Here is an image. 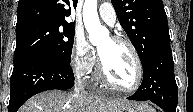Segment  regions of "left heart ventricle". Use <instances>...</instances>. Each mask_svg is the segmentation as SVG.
Returning a JSON list of instances; mask_svg holds the SVG:
<instances>
[{"instance_id":"obj_1","label":"left heart ventricle","mask_w":193,"mask_h":112,"mask_svg":"<svg viewBox=\"0 0 193 112\" xmlns=\"http://www.w3.org/2000/svg\"><path fill=\"white\" fill-rule=\"evenodd\" d=\"M99 55L109 78L121 87H130L136 78V65L130 49L105 39L98 46Z\"/></svg>"}]
</instances>
